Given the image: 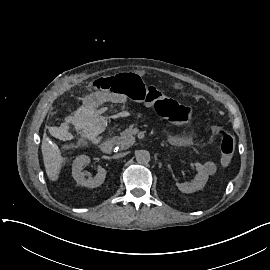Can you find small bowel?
I'll use <instances>...</instances> for the list:
<instances>
[{"mask_svg":"<svg viewBox=\"0 0 270 270\" xmlns=\"http://www.w3.org/2000/svg\"><path fill=\"white\" fill-rule=\"evenodd\" d=\"M176 88H180V84L175 85ZM96 104L101 103H113V104H123L126 102V97L122 94H117L113 92H103L96 94Z\"/></svg>","mask_w":270,"mask_h":270,"instance_id":"c3829d8e","label":"small bowel"}]
</instances>
